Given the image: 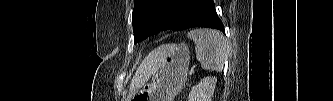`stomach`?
Instances as JSON below:
<instances>
[{
	"label": "stomach",
	"mask_w": 333,
	"mask_h": 101,
	"mask_svg": "<svg viewBox=\"0 0 333 101\" xmlns=\"http://www.w3.org/2000/svg\"><path fill=\"white\" fill-rule=\"evenodd\" d=\"M152 81L133 97L134 101H173L182 90L188 73L190 52L185 44L164 45Z\"/></svg>",
	"instance_id": "obj_1"
}]
</instances>
